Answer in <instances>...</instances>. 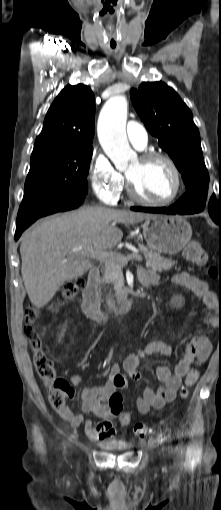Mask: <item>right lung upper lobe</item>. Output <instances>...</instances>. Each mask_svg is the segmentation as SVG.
Listing matches in <instances>:
<instances>
[{
	"label": "right lung upper lobe",
	"mask_w": 221,
	"mask_h": 510,
	"mask_svg": "<svg viewBox=\"0 0 221 510\" xmlns=\"http://www.w3.org/2000/svg\"><path fill=\"white\" fill-rule=\"evenodd\" d=\"M95 97L83 84L67 85L49 108L31 157L92 146Z\"/></svg>",
	"instance_id": "right-lung-upper-lobe-1"
}]
</instances>
